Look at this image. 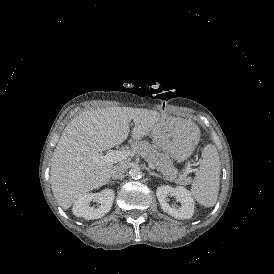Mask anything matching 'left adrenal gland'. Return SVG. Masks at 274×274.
<instances>
[{
    "mask_svg": "<svg viewBox=\"0 0 274 274\" xmlns=\"http://www.w3.org/2000/svg\"><path fill=\"white\" fill-rule=\"evenodd\" d=\"M148 172H149L150 175H154V176H156V177L162 178L161 175L157 174V173L154 172V171H151L150 169H148Z\"/></svg>",
    "mask_w": 274,
    "mask_h": 274,
    "instance_id": "a2214340",
    "label": "left adrenal gland"
}]
</instances>
